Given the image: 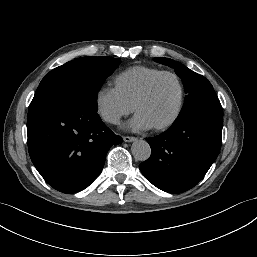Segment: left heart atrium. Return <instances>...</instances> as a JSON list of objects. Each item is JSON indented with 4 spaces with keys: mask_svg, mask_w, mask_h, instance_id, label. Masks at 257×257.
Instances as JSON below:
<instances>
[{
    "mask_svg": "<svg viewBox=\"0 0 257 257\" xmlns=\"http://www.w3.org/2000/svg\"><path fill=\"white\" fill-rule=\"evenodd\" d=\"M127 127L131 130L137 131L150 129L153 125L144 115L137 112L128 123Z\"/></svg>",
    "mask_w": 257,
    "mask_h": 257,
    "instance_id": "obj_1",
    "label": "left heart atrium"
}]
</instances>
